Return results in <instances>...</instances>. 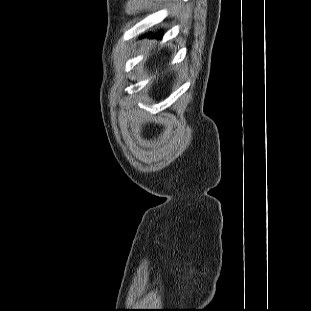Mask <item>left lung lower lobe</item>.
<instances>
[{
  "label": "left lung lower lobe",
  "instance_id": "1",
  "mask_svg": "<svg viewBox=\"0 0 311 311\" xmlns=\"http://www.w3.org/2000/svg\"><path fill=\"white\" fill-rule=\"evenodd\" d=\"M161 35H162L161 33H158V34H157V37H160ZM152 36H155V35L152 34Z\"/></svg>",
  "mask_w": 311,
  "mask_h": 311
}]
</instances>
